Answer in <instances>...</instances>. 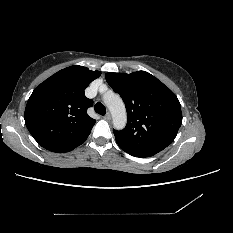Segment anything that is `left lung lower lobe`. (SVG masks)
I'll return each instance as SVG.
<instances>
[{
    "label": "left lung lower lobe",
    "instance_id": "1",
    "mask_svg": "<svg viewBox=\"0 0 233 233\" xmlns=\"http://www.w3.org/2000/svg\"><path fill=\"white\" fill-rule=\"evenodd\" d=\"M125 152H127V151H125ZM127 153H129L130 155H133L132 153H130V152H127ZM133 156H136V155H133Z\"/></svg>",
    "mask_w": 233,
    "mask_h": 233
}]
</instances>
